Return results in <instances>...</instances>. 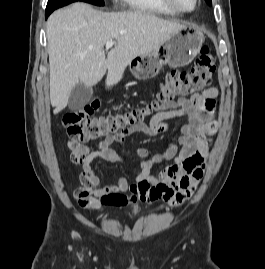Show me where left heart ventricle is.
Returning <instances> with one entry per match:
<instances>
[{"label": "left heart ventricle", "mask_w": 265, "mask_h": 269, "mask_svg": "<svg viewBox=\"0 0 265 269\" xmlns=\"http://www.w3.org/2000/svg\"><path fill=\"white\" fill-rule=\"evenodd\" d=\"M178 5L185 9H191L194 4V0H175Z\"/></svg>", "instance_id": "b2bd125f"}]
</instances>
